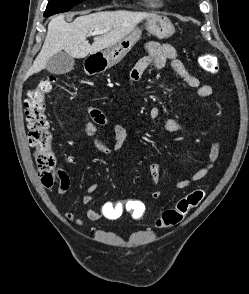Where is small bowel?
I'll use <instances>...</instances> for the list:
<instances>
[{
  "instance_id": "c3829d8e",
  "label": "small bowel",
  "mask_w": 249,
  "mask_h": 294,
  "mask_svg": "<svg viewBox=\"0 0 249 294\" xmlns=\"http://www.w3.org/2000/svg\"><path fill=\"white\" fill-rule=\"evenodd\" d=\"M146 55L142 57L134 66L130 73V82L137 83L142 74L149 68L156 70H161L164 68L166 62L170 61L171 70L179 75L188 86L194 88L197 92V96L201 102H204L212 94V88L202 83L197 77L190 74L186 69L183 62L178 58L176 50L168 44H160L157 42H147L145 45ZM149 117L151 120L159 122L163 128L170 133H182L184 132L188 125L183 122L176 121L171 119L163 114L159 107L153 106L149 109ZM93 122H88L84 125V132L94 139L95 144L99 151L103 154H112L119 151L125 140L128 137L127 129L122 125H115L113 127V136L114 140L111 144L105 143L100 135V128L107 125L108 121L106 116L99 111L92 115ZM219 156V143L218 141H213L211 144L210 152L207 158L206 163L202 168L194 172L187 178H184L176 182L171 188L170 191L182 190L189 187L191 184L203 179L207 174L213 169L217 158ZM150 177L154 186H157L160 181V167L157 162H152L149 166ZM70 178L69 176L62 171L60 178V183L58 186L57 193L60 197H63L70 190ZM99 188L98 183L90 184L86 189V194L82 198L84 204H89L93 200V193H95ZM162 192L158 189H155L151 193V197L154 200H157L161 196ZM113 202L106 201L102 204L99 209L89 208L86 210V218L89 221H98L101 218H106L109 220L117 219L112 215ZM66 219L78 226L83 224L82 220L77 218L73 211L69 210L65 212Z\"/></svg>"
}]
</instances>
